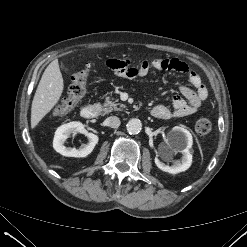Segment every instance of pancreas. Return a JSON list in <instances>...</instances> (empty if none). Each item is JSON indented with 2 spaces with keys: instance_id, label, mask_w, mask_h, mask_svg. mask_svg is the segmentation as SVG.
Returning a JSON list of instances; mask_svg holds the SVG:
<instances>
[{
  "instance_id": "cf45deb5",
  "label": "pancreas",
  "mask_w": 247,
  "mask_h": 247,
  "mask_svg": "<svg viewBox=\"0 0 247 247\" xmlns=\"http://www.w3.org/2000/svg\"><path fill=\"white\" fill-rule=\"evenodd\" d=\"M118 100H115L111 97L105 98V103L103 104L102 111L104 114L110 113L112 111H122L126 106L122 103H117ZM119 106V107H118Z\"/></svg>"
}]
</instances>
